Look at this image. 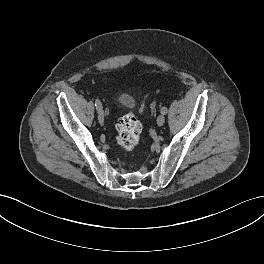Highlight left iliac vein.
I'll return each mask as SVG.
<instances>
[{
  "label": "left iliac vein",
  "instance_id": "1",
  "mask_svg": "<svg viewBox=\"0 0 264 264\" xmlns=\"http://www.w3.org/2000/svg\"><path fill=\"white\" fill-rule=\"evenodd\" d=\"M164 122H165V117H164V115H163V114L159 115V116L157 117V125H158V126H162V125L164 124Z\"/></svg>",
  "mask_w": 264,
  "mask_h": 264
}]
</instances>
